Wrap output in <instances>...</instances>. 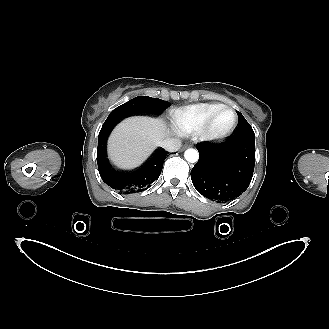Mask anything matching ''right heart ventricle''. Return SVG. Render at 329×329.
I'll use <instances>...</instances> for the list:
<instances>
[{"label":"right heart ventricle","mask_w":329,"mask_h":329,"mask_svg":"<svg viewBox=\"0 0 329 329\" xmlns=\"http://www.w3.org/2000/svg\"><path fill=\"white\" fill-rule=\"evenodd\" d=\"M222 106L223 103L211 102L181 107L171 113V121L179 134H192L197 132L207 118Z\"/></svg>","instance_id":"obj_1"}]
</instances>
